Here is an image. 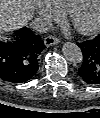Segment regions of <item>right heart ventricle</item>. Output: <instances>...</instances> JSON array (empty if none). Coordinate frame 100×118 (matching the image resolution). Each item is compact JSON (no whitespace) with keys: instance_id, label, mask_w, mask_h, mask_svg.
Returning a JSON list of instances; mask_svg holds the SVG:
<instances>
[{"instance_id":"e07e8e85","label":"right heart ventricle","mask_w":100,"mask_h":118,"mask_svg":"<svg viewBox=\"0 0 100 118\" xmlns=\"http://www.w3.org/2000/svg\"><path fill=\"white\" fill-rule=\"evenodd\" d=\"M61 13H68L82 0H51Z\"/></svg>"}]
</instances>
